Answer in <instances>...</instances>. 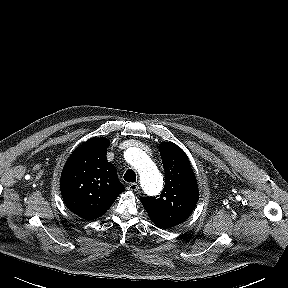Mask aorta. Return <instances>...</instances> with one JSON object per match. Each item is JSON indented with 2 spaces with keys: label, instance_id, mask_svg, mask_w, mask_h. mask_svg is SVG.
Segmentation results:
<instances>
[{
  "label": "aorta",
  "instance_id": "aorta-1",
  "mask_svg": "<svg viewBox=\"0 0 288 288\" xmlns=\"http://www.w3.org/2000/svg\"><path fill=\"white\" fill-rule=\"evenodd\" d=\"M128 162L138 171L144 190L157 194L163 186L161 173L144 151L131 147L128 149Z\"/></svg>",
  "mask_w": 288,
  "mask_h": 288
}]
</instances>
